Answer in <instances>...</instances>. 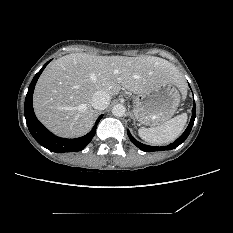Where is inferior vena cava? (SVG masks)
<instances>
[{
    "label": "inferior vena cava",
    "mask_w": 233,
    "mask_h": 233,
    "mask_svg": "<svg viewBox=\"0 0 233 233\" xmlns=\"http://www.w3.org/2000/svg\"><path fill=\"white\" fill-rule=\"evenodd\" d=\"M111 96L105 91H97L91 100V105L94 109L104 110L108 107Z\"/></svg>",
    "instance_id": "1"
}]
</instances>
